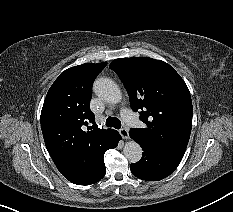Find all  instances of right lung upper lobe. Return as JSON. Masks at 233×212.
<instances>
[{"instance_id":"right-lung-upper-lobe-1","label":"right lung upper lobe","mask_w":233,"mask_h":212,"mask_svg":"<svg viewBox=\"0 0 233 212\" xmlns=\"http://www.w3.org/2000/svg\"><path fill=\"white\" fill-rule=\"evenodd\" d=\"M106 64L87 63L63 71L50 87L41 111L47 150L58 170L74 184L94 174L115 131L98 128L90 110L92 83Z\"/></svg>"}]
</instances>
